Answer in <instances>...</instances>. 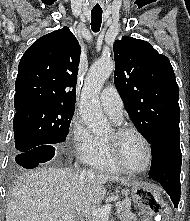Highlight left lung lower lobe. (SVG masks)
<instances>
[{"label": "left lung lower lobe", "instance_id": "0a47b994", "mask_svg": "<svg viewBox=\"0 0 190 221\" xmlns=\"http://www.w3.org/2000/svg\"><path fill=\"white\" fill-rule=\"evenodd\" d=\"M179 143L180 132L161 134L150 143L152 163L149 176L162 185L175 207L180 200L182 154Z\"/></svg>", "mask_w": 190, "mask_h": 221}]
</instances>
